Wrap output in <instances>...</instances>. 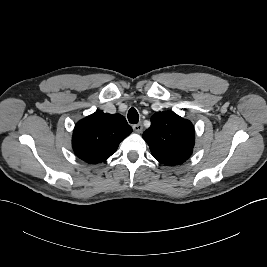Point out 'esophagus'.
<instances>
[{"label":"esophagus","mask_w":267,"mask_h":267,"mask_svg":"<svg viewBox=\"0 0 267 267\" xmlns=\"http://www.w3.org/2000/svg\"><path fill=\"white\" fill-rule=\"evenodd\" d=\"M133 130L137 133H141L143 131V126L141 123L133 125Z\"/></svg>","instance_id":"1"}]
</instances>
